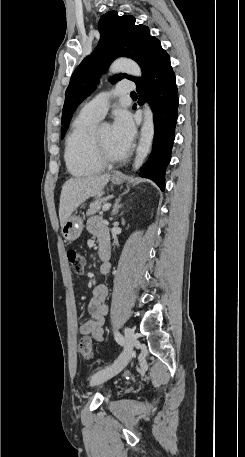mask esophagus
Returning <instances> with one entry per match:
<instances>
[{"mask_svg": "<svg viewBox=\"0 0 245 457\" xmlns=\"http://www.w3.org/2000/svg\"><path fill=\"white\" fill-rule=\"evenodd\" d=\"M113 176L115 177H121L122 175L120 173H114Z\"/></svg>", "mask_w": 245, "mask_h": 457, "instance_id": "34e87169", "label": "esophagus"}]
</instances>
